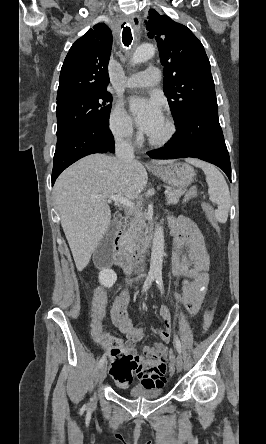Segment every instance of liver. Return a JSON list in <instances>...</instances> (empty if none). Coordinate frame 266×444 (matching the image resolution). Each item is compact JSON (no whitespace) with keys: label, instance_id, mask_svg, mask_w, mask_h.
<instances>
[{"label":"liver","instance_id":"obj_1","mask_svg":"<svg viewBox=\"0 0 266 444\" xmlns=\"http://www.w3.org/2000/svg\"><path fill=\"white\" fill-rule=\"evenodd\" d=\"M161 160L158 164H168ZM148 180L144 166L105 154H91L66 169L54 185L61 225L76 267L82 271L111 225V210L105 198L121 194L134 200Z\"/></svg>","mask_w":266,"mask_h":444}]
</instances>
